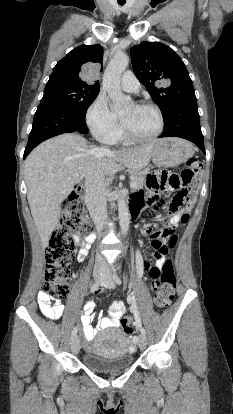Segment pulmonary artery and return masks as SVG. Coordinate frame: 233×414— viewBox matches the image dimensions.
I'll return each instance as SVG.
<instances>
[{
    "label": "pulmonary artery",
    "mask_w": 233,
    "mask_h": 414,
    "mask_svg": "<svg viewBox=\"0 0 233 414\" xmlns=\"http://www.w3.org/2000/svg\"><path fill=\"white\" fill-rule=\"evenodd\" d=\"M121 88L126 92H137L140 82L132 71H126L120 81Z\"/></svg>",
    "instance_id": "1"
}]
</instances>
